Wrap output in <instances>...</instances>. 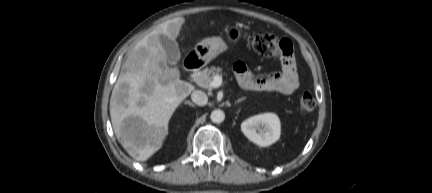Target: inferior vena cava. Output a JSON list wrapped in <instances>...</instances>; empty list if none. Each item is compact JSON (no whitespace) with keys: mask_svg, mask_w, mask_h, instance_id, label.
I'll return each instance as SVG.
<instances>
[{"mask_svg":"<svg viewBox=\"0 0 432 193\" xmlns=\"http://www.w3.org/2000/svg\"><path fill=\"white\" fill-rule=\"evenodd\" d=\"M191 99L195 104H197L199 106H204L208 102L207 95L201 90L193 91V93L191 95Z\"/></svg>","mask_w":432,"mask_h":193,"instance_id":"inferior-vena-cava-1","label":"inferior vena cava"}]
</instances>
